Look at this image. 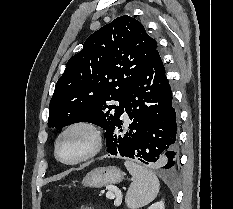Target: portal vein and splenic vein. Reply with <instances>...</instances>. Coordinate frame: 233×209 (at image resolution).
I'll list each match as a JSON object with an SVG mask.
<instances>
[{
    "label": "portal vein and splenic vein",
    "instance_id": "portal-vein-and-splenic-vein-1",
    "mask_svg": "<svg viewBox=\"0 0 233 209\" xmlns=\"http://www.w3.org/2000/svg\"><path fill=\"white\" fill-rule=\"evenodd\" d=\"M115 192H116V199L114 201V204L118 206V205L121 204V201H122V199H121V192L118 191V190H116ZM106 198H108V199H114L115 195H114V193L112 191L109 190L106 193Z\"/></svg>",
    "mask_w": 233,
    "mask_h": 209
}]
</instances>
